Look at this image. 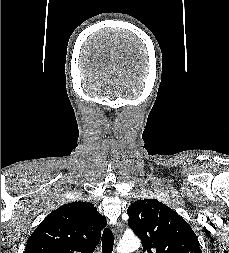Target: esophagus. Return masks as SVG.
Masks as SVG:
<instances>
[{
	"instance_id": "esophagus-1",
	"label": "esophagus",
	"mask_w": 229,
	"mask_h": 253,
	"mask_svg": "<svg viewBox=\"0 0 229 253\" xmlns=\"http://www.w3.org/2000/svg\"><path fill=\"white\" fill-rule=\"evenodd\" d=\"M114 233L117 239L121 237V234L123 232V224L118 222L114 225Z\"/></svg>"
}]
</instances>
